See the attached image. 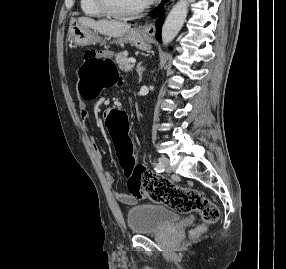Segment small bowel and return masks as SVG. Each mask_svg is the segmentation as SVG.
<instances>
[{
	"instance_id": "c3829d8e",
	"label": "small bowel",
	"mask_w": 286,
	"mask_h": 269,
	"mask_svg": "<svg viewBox=\"0 0 286 269\" xmlns=\"http://www.w3.org/2000/svg\"><path fill=\"white\" fill-rule=\"evenodd\" d=\"M79 115L82 120H87L89 118V111L87 108V104L83 101L79 102ZM106 116H110V108H103V111H101V115L99 116L100 122L104 123ZM91 146L94 152V155L99 163H102L103 156L100 151V148L98 147L96 141L92 138L91 139ZM105 179L109 184H112L114 182V177L111 174L110 171L105 170L104 171ZM115 197L123 204L126 205H133L137 202V197L131 194H127L121 190L115 191Z\"/></svg>"
}]
</instances>
